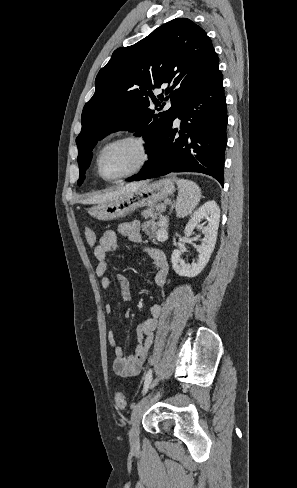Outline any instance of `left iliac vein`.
Wrapping results in <instances>:
<instances>
[{
    "label": "left iliac vein",
    "mask_w": 297,
    "mask_h": 488,
    "mask_svg": "<svg viewBox=\"0 0 297 488\" xmlns=\"http://www.w3.org/2000/svg\"><path fill=\"white\" fill-rule=\"evenodd\" d=\"M156 382L154 381L152 384V387ZM151 393H149L147 396H145L141 401L135 406V408L132 411L131 414V429L129 431V441L132 450H137L139 448V424L143 415V412L148 404V401L151 397Z\"/></svg>",
    "instance_id": "4c4485c4"
}]
</instances>
